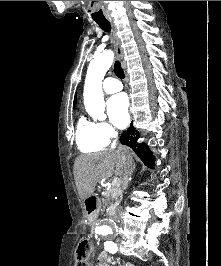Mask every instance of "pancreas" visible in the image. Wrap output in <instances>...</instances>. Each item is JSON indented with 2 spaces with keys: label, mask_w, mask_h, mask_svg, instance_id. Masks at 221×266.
Masks as SVG:
<instances>
[{
  "label": "pancreas",
  "mask_w": 221,
  "mask_h": 266,
  "mask_svg": "<svg viewBox=\"0 0 221 266\" xmlns=\"http://www.w3.org/2000/svg\"><path fill=\"white\" fill-rule=\"evenodd\" d=\"M102 195L105 198V203H107L108 205H110V208H115L116 205L119 202V195H120V189L117 187H109L108 189H106Z\"/></svg>",
  "instance_id": "pancreas-1"
}]
</instances>
